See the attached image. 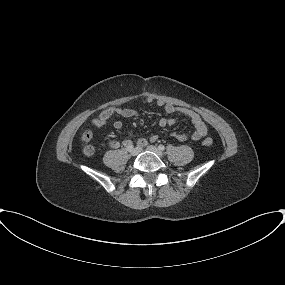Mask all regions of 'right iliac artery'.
Here are the masks:
<instances>
[{"label": "right iliac artery", "instance_id": "1", "mask_svg": "<svg viewBox=\"0 0 285 285\" xmlns=\"http://www.w3.org/2000/svg\"><path fill=\"white\" fill-rule=\"evenodd\" d=\"M126 148H127L128 151H131V150L134 148L132 142L129 143V144L126 146Z\"/></svg>", "mask_w": 285, "mask_h": 285}]
</instances>
